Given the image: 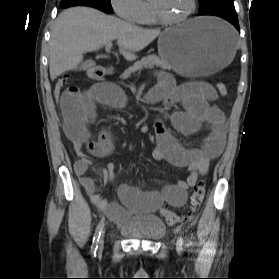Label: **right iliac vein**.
Segmentation results:
<instances>
[{"label":"right iliac vein","mask_w":279,"mask_h":279,"mask_svg":"<svg viewBox=\"0 0 279 279\" xmlns=\"http://www.w3.org/2000/svg\"><path fill=\"white\" fill-rule=\"evenodd\" d=\"M103 243H104V233H102V236L100 238V248L103 246Z\"/></svg>","instance_id":"63e3f726"}]
</instances>
